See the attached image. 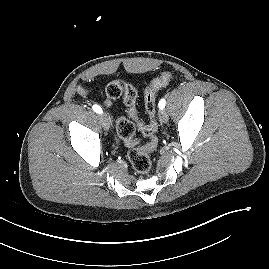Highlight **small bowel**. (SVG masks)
<instances>
[{
  "instance_id": "small-bowel-1",
  "label": "small bowel",
  "mask_w": 269,
  "mask_h": 269,
  "mask_svg": "<svg viewBox=\"0 0 269 269\" xmlns=\"http://www.w3.org/2000/svg\"><path fill=\"white\" fill-rule=\"evenodd\" d=\"M77 92H78L80 95H87V94L90 92V90L87 89V88H84V87H82V86H78V88H77Z\"/></svg>"
}]
</instances>
